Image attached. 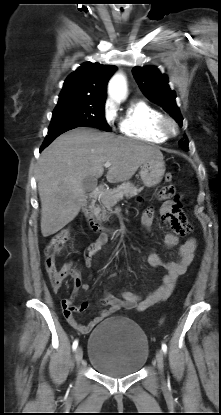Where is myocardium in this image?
<instances>
[{
    "label": "myocardium",
    "instance_id": "1",
    "mask_svg": "<svg viewBox=\"0 0 221 415\" xmlns=\"http://www.w3.org/2000/svg\"><path fill=\"white\" fill-rule=\"evenodd\" d=\"M158 128L167 137L176 136L179 132L178 123L169 115H162L158 122Z\"/></svg>",
    "mask_w": 221,
    "mask_h": 415
}]
</instances>
